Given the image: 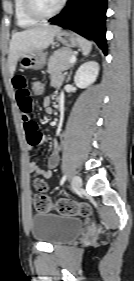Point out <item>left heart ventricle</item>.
Listing matches in <instances>:
<instances>
[{
    "instance_id": "1",
    "label": "left heart ventricle",
    "mask_w": 134,
    "mask_h": 281,
    "mask_svg": "<svg viewBox=\"0 0 134 281\" xmlns=\"http://www.w3.org/2000/svg\"><path fill=\"white\" fill-rule=\"evenodd\" d=\"M61 0H36L39 9L43 12L53 11Z\"/></svg>"
}]
</instances>
